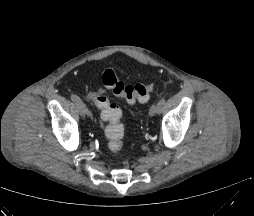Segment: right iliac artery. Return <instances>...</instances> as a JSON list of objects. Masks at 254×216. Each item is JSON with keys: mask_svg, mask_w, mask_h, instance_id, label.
I'll return each mask as SVG.
<instances>
[{"mask_svg": "<svg viewBox=\"0 0 254 216\" xmlns=\"http://www.w3.org/2000/svg\"><path fill=\"white\" fill-rule=\"evenodd\" d=\"M71 100H72L74 103L83 105V106L85 107V105L83 104V102L81 101V99H80L77 95L72 94V95H71ZM85 108H86V107H85ZM86 112H87V115H88L91 119L94 118L92 112L89 111L87 108H86Z\"/></svg>", "mask_w": 254, "mask_h": 216, "instance_id": "right-iliac-artery-1", "label": "right iliac artery"}]
</instances>
